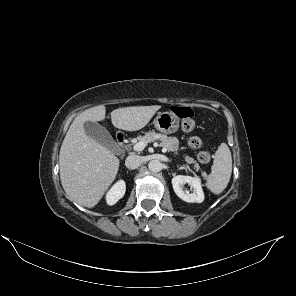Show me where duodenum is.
I'll return each instance as SVG.
<instances>
[{
	"label": "duodenum",
	"mask_w": 296,
	"mask_h": 296,
	"mask_svg": "<svg viewBox=\"0 0 296 296\" xmlns=\"http://www.w3.org/2000/svg\"><path fill=\"white\" fill-rule=\"evenodd\" d=\"M117 142L120 145V147H124V136L123 135H118L117 136Z\"/></svg>",
	"instance_id": "duodenum-1"
}]
</instances>
